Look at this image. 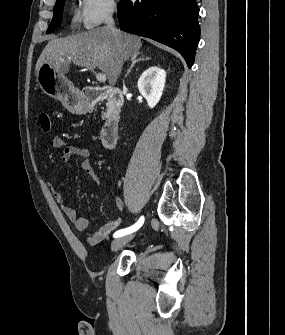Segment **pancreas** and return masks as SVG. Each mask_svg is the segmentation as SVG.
Instances as JSON below:
<instances>
[{
    "label": "pancreas",
    "mask_w": 285,
    "mask_h": 335,
    "mask_svg": "<svg viewBox=\"0 0 285 335\" xmlns=\"http://www.w3.org/2000/svg\"><path fill=\"white\" fill-rule=\"evenodd\" d=\"M109 118H110V113L109 112H102L100 120L109 119Z\"/></svg>",
    "instance_id": "1"
}]
</instances>
